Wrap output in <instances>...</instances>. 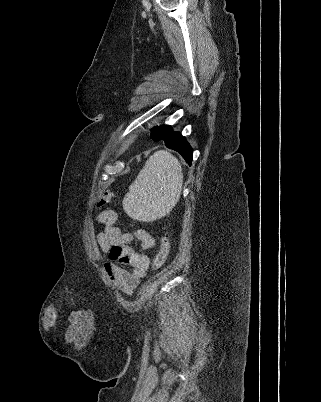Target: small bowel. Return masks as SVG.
<instances>
[{
  "instance_id": "1",
  "label": "small bowel",
  "mask_w": 321,
  "mask_h": 402,
  "mask_svg": "<svg viewBox=\"0 0 321 402\" xmlns=\"http://www.w3.org/2000/svg\"><path fill=\"white\" fill-rule=\"evenodd\" d=\"M96 221L104 226L97 234L96 242L110 261L104 264L108 279L122 292L131 295L140 281L147 275L149 258L145 253L135 251L130 244L139 243L143 250L155 245V238L145 229L133 233L124 232L118 226L117 214L112 210H102L96 215ZM123 266H127L128 269ZM92 314L85 307H77L67 318L66 339L74 342L76 353H85L88 340L92 337Z\"/></svg>"
}]
</instances>
